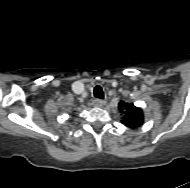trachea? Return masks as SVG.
I'll return each instance as SVG.
<instances>
[{
    "instance_id": "trachea-1",
    "label": "trachea",
    "mask_w": 190,
    "mask_h": 188,
    "mask_svg": "<svg viewBox=\"0 0 190 188\" xmlns=\"http://www.w3.org/2000/svg\"><path fill=\"white\" fill-rule=\"evenodd\" d=\"M94 96L96 98H99V99H103L104 98V93H103V90H102L101 86L97 85L94 88Z\"/></svg>"
}]
</instances>
